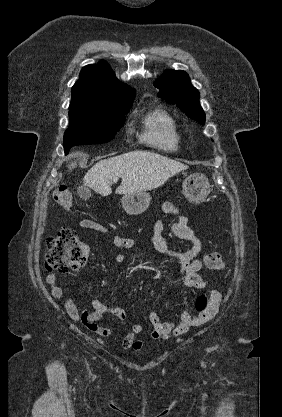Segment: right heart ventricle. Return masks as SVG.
<instances>
[{
  "label": "right heart ventricle",
  "instance_id": "obj_1",
  "mask_svg": "<svg viewBox=\"0 0 282 417\" xmlns=\"http://www.w3.org/2000/svg\"><path fill=\"white\" fill-rule=\"evenodd\" d=\"M141 138L147 144L162 148H175L178 137L172 118L161 108H155L142 118Z\"/></svg>",
  "mask_w": 282,
  "mask_h": 417
}]
</instances>
